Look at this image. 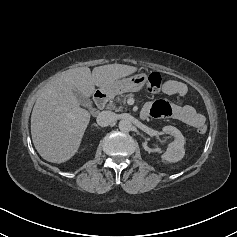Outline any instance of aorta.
Returning a JSON list of instances; mask_svg holds the SVG:
<instances>
[{
  "label": "aorta",
  "instance_id": "762f6f07",
  "mask_svg": "<svg viewBox=\"0 0 237 237\" xmlns=\"http://www.w3.org/2000/svg\"><path fill=\"white\" fill-rule=\"evenodd\" d=\"M132 128V123L129 119H122L119 122V129L123 132H128Z\"/></svg>",
  "mask_w": 237,
  "mask_h": 237
}]
</instances>
